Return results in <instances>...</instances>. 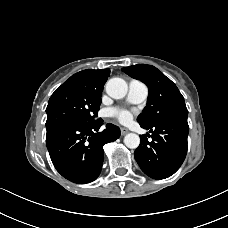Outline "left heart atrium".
<instances>
[{"mask_svg": "<svg viewBox=\"0 0 228 228\" xmlns=\"http://www.w3.org/2000/svg\"><path fill=\"white\" fill-rule=\"evenodd\" d=\"M112 114L122 123H127L132 117L127 110H112Z\"/></svg>", "mask_w": 228, "mask_h": 228, "instance_id": "1", "label": "left heart atrium"}]
</instances>
